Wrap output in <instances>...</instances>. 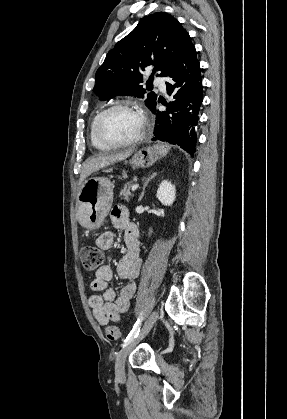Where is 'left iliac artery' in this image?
Returning a JSON list of instances; mask_svg holds the SVG:
<instances>
[{
    "label": "left iliac artery",
    "instance_id": "left-iliac-artery-1",
    "mask_svg": "<svg viewBox=\"0 0 287 419\" xmlns=\"http://www.w3.org/2000/svg\"><path fill=\"white\" fill-rule=\"evenodd\" d=\"M142 315H143V313H141V316L136 321L132 331L129 333L127 338L124 340L123 347L126 346L127 344H129L134 338H136L138 336V334L140 332V325H141L142 318H143Z\"/></svg>",
    "mask_w": 287,
    "mask_h": 419
}]
</instances>
